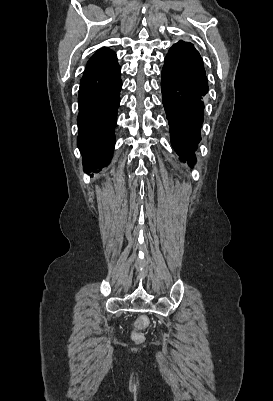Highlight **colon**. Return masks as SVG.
Here are the masks:
<instances>
[{"mask_svg": "<svg viewBox=\"0 0 273 401\" xmlns=\"http://www.w3.org/2000/svg\"><path fill=\"white\" fill-rule=\"evenodd\" d=\"M144 318L145 315H142V318L137 321L136 325L134 326V331L131 335V340L133 342H138V344H145V341L147 339L146 334L141 333L143 331V328H147L149 326V321Z\"/></svg>", "mask_w": 273, "mask_h": 401, "instance_id": "colon-1", "label": "colon"}]
</instances>
